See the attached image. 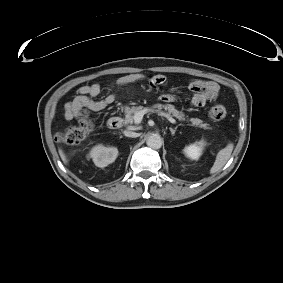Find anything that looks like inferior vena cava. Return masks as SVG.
Listing matches in <instances>:
<instances>
[{"mask_svg":"<svg viewBox=\"0 0 283 283\" xmlns=\"http://www.w3.org/2000/svg\"><path fill=\"white\" fill-rule=\"evenodd\" d=\"M124 135L127 136V137H131V138H136V137L140 136L139 133H136V132L131 131V130H125Z\"/></svg>","mask_w":283,"mask_h":283,"instance_id":"602c4592","label":"inferior vena cava"}]
</instances>
